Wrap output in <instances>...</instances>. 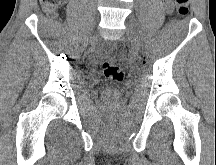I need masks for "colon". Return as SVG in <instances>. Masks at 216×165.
<instances>
[{
  "mask_svg": "<svg viewBox=\"0 0 216 165\" xmlns=\"http://www.w3.org/2000/svg\"><path fill=\"white\" fill-rule=\"evenodd\" d=\"M64 0H40L43 10L50 15H54L60 8ZM190 0H174L176 14L179 18H185L189 12ZM101 69L103 75L112 82H121L124 78L123 69L110 60H105Z\"/></svg>",
  "mask_w": 216,
  "mask_h": 165,
  "instance_id": "1",
  "label": "colon"
}]
</instances>
